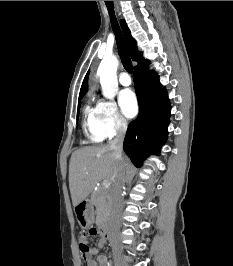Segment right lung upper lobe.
<instances>
[{"mask_svg":"<svg viewBox=\"0 0 233 266\" xmlns=\"http://www.w3.org/2000/svg\"><path fill=\"white\" fill-rule=\"evenodd\" d=\"M120 23H121L122 31H123V34H124V37H125V41H126L128 50L130 52L131 58H132V60L136 61L138 63L137 66H139L142 63L146 62L147 60L143 59L142 58V54L137 51L136 41L131 36L130 30L127 27L126 22L124 20H121ZM137 66H135V67H137ZM88 74L86 75V77H85V79H84V81L82 83L80 94H79V98L83 97L85 95V93L87 92V89H88Z\"/></svg>","mask_w":233,"mask_h":266,"instance_id":"right-lung-upper-lobe-1","label":"right lung upper lobe"}]
</instances>
